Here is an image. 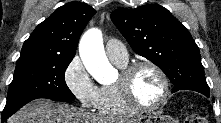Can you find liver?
Returning <instances> with one entry per match:
<instances>
[{
	"mask_svg": "<svg viewBox=\"0 0 221 123\" xmlns=\"http://www.w3.org/2000/svg\"><path fill=\"white\" fill-rule=\"evenodd\" d=\"M131 120H116L97 117L67 104L38 99L28 103L7 123H131Z\"/></svg>",
	"mask_w": 221,
	"mask_h": 123,
	"instance_id": "liver-1",
	"label": "liver"
}]
</instances>
